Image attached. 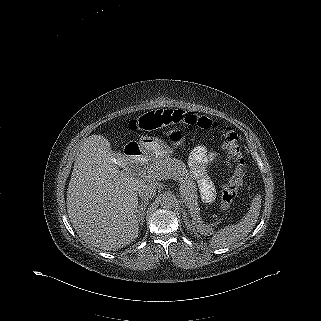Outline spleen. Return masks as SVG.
<instances>
[{
    "label": "spleen",
    "instance_id": "obj_1",
    "mask_svg": "<svg viewBox=\"0 0 321 321\" xmlns=\"http://www.w3.org/2000/svg\"><path fill=\"white\" fill-rule=\"evenodd\" d=\"M261 200V196L256 195L252 201L250 210L241 221L217 232L211 239V245L214 247H227L247 236L254 228L259 217Z\"/></svg>",
    "mask_w": 321,
    "mask_h": 321
}]
</instances>
